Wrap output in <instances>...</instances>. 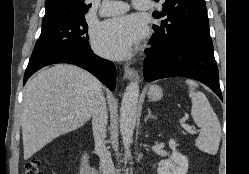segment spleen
Returning <instances> with one entry per match:
<instances>
[{
	"instance_id": "3e777b00",
	"label": "spleen",
	"mask_w": 249,
	"mask_h": 174,
	"mask_svg": "<svg viewBox=\"0 0 249 174\" xmlns=\"http://www.w3.org/2000/svg\"><path fill=\"white\" fill-rule=\"evenodd\" d=\"M186 83L189 86V97L192 101L191 115L200 128L195 145L199 150L215 155L221 140V126L218 117L207 97L202 92L195 90L198 84L192 80H186Z\"/></svg>"
}]
</instances>
